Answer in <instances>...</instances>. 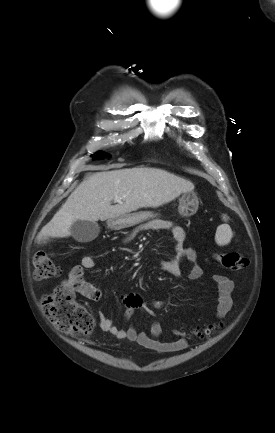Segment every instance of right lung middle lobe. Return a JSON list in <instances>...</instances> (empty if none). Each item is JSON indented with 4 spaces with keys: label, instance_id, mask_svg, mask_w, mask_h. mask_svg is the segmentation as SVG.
Here are the masks:
<instances>
[{
    "label": "right lung middle lobe",
    "instance_id": "right-lung-middle-lobe-1",
    "mask_svg": "<svg viewBox=\"0 0 275 433\" xmlns=\"http://www.w3.org/2000/svg\"><path fill=\"white\" fill-rule=\"evenodd\" d=\"M92 157L94 159H98V158L109 157V156L105 152L100 151V152L93 154Z\"/></svg>",
    "mask_w": 275,
    "mask_h": 433
}]
</instances>
